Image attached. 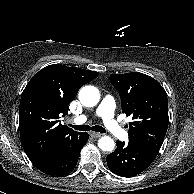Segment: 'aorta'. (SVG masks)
<instances>
[{"instance_id": "762f6f07", "label": "aorta", "mask_w": 194, "mask_h": 194, "mask_svg": "<svg viewBox=\"0 0 194 194\" xmlns=\"http://www.w3.org/2000/svg\"><path fill=\"white\" fill-rule=\"evenodd\" d=\"M99 99V91L94 86H84L79 91V100L86 107H93L97 105ZM98 147L102 151L112 152L115 148V142L111 137L103 136L98 141Z\"/></svg>"}]
</instances>
